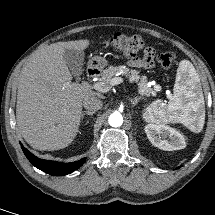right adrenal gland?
<instances>
[{
  "mask_svg": "<svg viewBox=\"0 0 215 215\" xmlns=\"http://www.w3.org/2000/svg\"><path fill=\"white\" fill-rule=\"evenodd\" d=\"M94 113H95L94 111H92V112H90V111L82 112V119L84 118L85 115L93 116Z\"/></svg>",
  "mask_w": 215,
  "mask_h": 215,
  "instance_id": "2a0ac1e0",
  "label": "right adrenal gland"
}]
</instances>
